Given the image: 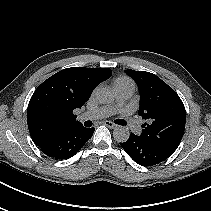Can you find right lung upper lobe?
<instances>
[{
	"label": "right lung upper lobe",
	"mask_w": 211,
	"mask_h": 211,
	"mask_svg": "<svg viewBox=\"0 0 211 211\" xmlns=\"http://www.w3.org/2000/svg\"><path fill=\"white\" fill-rule=\"evenodd\" d=\"M111 74L110 68L71 67L45 80L33 93L27 109L33 142L42 144L60 131L82 125L74 110L81 108L94 88Z\"/></svg>",
	"instance_id": "cb5924a9"
}]
</instances>
